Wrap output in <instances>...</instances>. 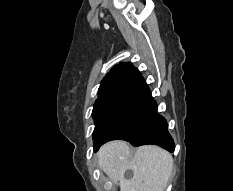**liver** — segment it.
Here are the masks:
<instances>
[{
  "instance_id": "liver-1",
  "label": "liver",
  "mask_w": 233,
  "mask_h": 191,
  "mask_svg": "<svg viewBox=\"0 0 233 191\" xmlns=\"http://www.w3.org/2000/svg\"><path fill=\"white\" fill-rule=\"evenodd\" d=\"M101 170L113 181L119 182L120 191H164L173 168L169 152L155 146L139 147L131 155L130 145L121 140L103 145L97 153ZM132 170L131 179L124 173Z\"/></svg>"
}]
</instances>
